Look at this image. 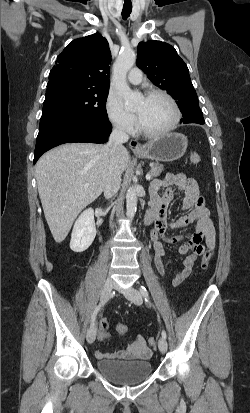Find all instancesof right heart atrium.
Here are the masks:
<instances>
[{
  "instance_id": "1",
  "label": "right heart atrium",
  "mask_w": 250,
  "mask_h": 413,
  "mask_svg": "<svg viewBox=\"0 0 250 413\" xmlns=\"http://www.w3.org/2000/svg\"><path fill=\"white\" fill-rule=\"evenodd\" d=\"M105 112L109 122L115 129L127 134L135 131V116L124 107L119 96L113 92L107 95Z\"/></svg>"
}]
</instances>
